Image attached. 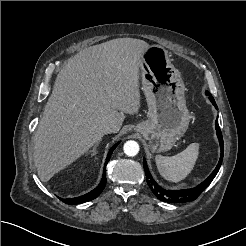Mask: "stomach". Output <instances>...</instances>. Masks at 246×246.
<instances>
[{"mask_svg": "<svg viewBox=\"0 0 246 246\" xmlns=\"http://www.w3.org/2000/svg\"><path fill=\"white\" fill-rule=\"evenodd\" d=\"M140 70L148 119L138 123L135 131L148 141L152 152L168 151L184 135L190 122L184 82L171 64L168 51L159 45L144 51Z\"/></svg>", "mask_w": 246, "mask_h": 246, "instance_id": "obj_1", "label": "stomach"}]
</instances>
